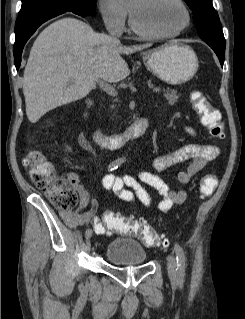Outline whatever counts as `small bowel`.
Returning <instances> with one entry per match:
<instances>
[{"instance_id": "c3829d8e", "label": "small bowel", "mask_w": 245, "mask_h": 319, "mask_svg": "<svg viewBox=\"0 0 245 319\" xmlns=\"http://www.w3.org/2000/svg\"><path fill=\"white\" fill-rule=\"evenodd\" d=\"M187 130L189 133H193L191 128ZM219 153V148L214 145L184 144L171 153L155 157L152 160L153 171H139L136 175H106L103 178V186L117 198L132 206L141 204L150 208L152 200L143 187V185H148L163 196L158 204V209L161 212H167L182 204L187 195L183 189H173L159 173L167 171L179 163H186V169L177 175V180L180 184H188L192 177L214 160ZM69 179L72 187L79 195V206L75 212L60 211L59 215L62 220L72 228L91 224L96 234L110 236L112 232L96 215L97 202L92 201L91 209L88 212H83L90 203V195L84 189L76 174H70Z\"/></svg>"}]
</instances>
